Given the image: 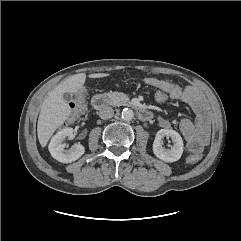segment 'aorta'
I'll return each instance as SVG.
<instances>
[{"label": "aorta", "mask_w": 241, "mask_h": 241, "mask_svg": "<svg viewBox=\"0 0 241 241\" xmlns=\"http://www.w3.org/2000/svg\"><path fill=\"white\" fill-rule=\"evenodd\" d=\"M134 117V113L133 110L129 109V108H124L122 110V119L125 121H130L132 120Z\"/></svg>", "instance_id": "1"}]
</instances>
